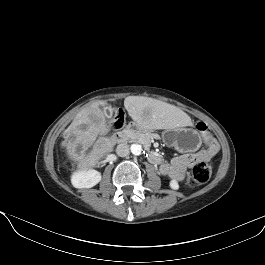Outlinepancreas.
<instances>
[{
    "label": "pancreas",
    "mask_w": 265,
    "mask_h": 265,
    "mask_svg": "<svg viewBox=\"0 0 265 265\" xmlns=\"http://www.w3.org/2000/svg\"><path fill=\"white\" fill-rule=\"evenodd\" d=\"M154 138V136L150 133H140L137 131H128V139L137 141L141 144H143L146 148L150 147L151 140Z\"/></svg>",
    "instance_id": "pancreas-1"
}]
</instances>
